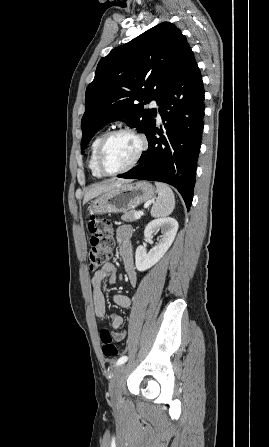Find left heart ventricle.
Masks as SVG:
<instances>
[{
    "mask_svg": "<svg viewBox=\"0 0 269 447\" xmlns=\"http://www.w3.org/2000/svg\"><path fill=\"white\" fill-rule=\"evenodd\" d=\"M140 148V139L129 132L113 135L107 142L103 162L106 168L116 170L129 165Z\"/></svg>",
    "mask_w": 269,
    "mask_h": 447,
    "instance_id": "obj_1",
    "label": "left heart ventricle"
}]
</instances>
